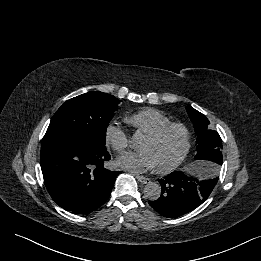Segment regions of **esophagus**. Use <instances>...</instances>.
<instances>
[{"instance_id": "1", "label": "esophagus", "mask_w": 261, "mask_h": 261, "mask_svg": "<svg viewBox=\"0 0 261 261\" xmlns=\"http://www.w3.org/2000/svg\"><path fill=\"white\" fill-rule=\"evenodd\" d=\"M137 180L142 184H147L150 182L149 178H146L144 176L136 175Z\"/></svg>"}]
</instances>
